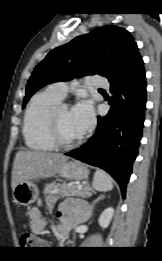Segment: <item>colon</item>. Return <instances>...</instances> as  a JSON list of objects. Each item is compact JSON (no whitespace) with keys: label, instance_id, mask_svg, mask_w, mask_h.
<instances>
[{"label":"colon","instance_id":"colon-1","mask_svg":"<svg viewBox=\"0 0 162 261\" xmlns=\"http://www.w3.org/2000/svg\"><path fill=\"white\" fill-rule=\"evenodd\" d=\"M20 243L23 248H37L45 245L40 238L30 232H25L22 234Z\"/></svg>","mask_w":162,"mask_h":261}]
</instances>
